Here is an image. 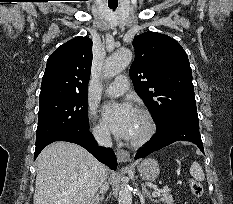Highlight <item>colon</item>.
Here are the masks:
<instances>
[{"label": "colon", "mask_w": 233, "mask_h": 204, "mask_svg": "<svg viewBox=\"0 0 233 204\" xmlns=\"http://www.w3.org/2000/svg\"><path fill=\"white\" fill-rule=\"evenodd\" d=\"M189 186H190V189H191V192L193 193L194 196L196 197H201L204 193V188H203V185L193 179V178H190L189 179Z\"/></svg>", "instance_id": "1"}]
</instances>
